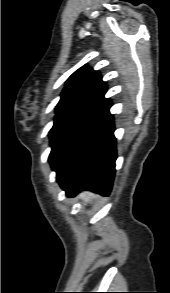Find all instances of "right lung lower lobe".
Listing matches in <instances>:
<instances>
[{"instance_id":"right-lung-lower-lobe-1","label":"right lung lower lobe","mask_w":170,"mask_h":293,"mask_svg":"<svg viewBox=\"0 0 170 293\" xmlns=\"http://www.w3.org/2000/svg\"><path fill=\"white\" fill-rule=\"evenodd\" d=\"M112 115L100 124L67 166L57 174V180L67 196L82 190L108 195L115 174L116 139Z\"/></svg>"}]
</instances>
